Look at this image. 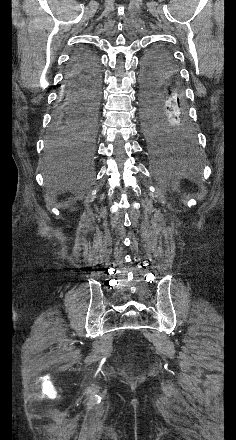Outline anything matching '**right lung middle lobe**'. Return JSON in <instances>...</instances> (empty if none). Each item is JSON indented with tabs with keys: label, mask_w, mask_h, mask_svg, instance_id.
Listing matches in <instances>:
<instances>
[{
	"label": "right lung middle lobe",
	"mask_w": 236,
	"mask_h": 440,
	"mask_svg": "<svg viewBox=\"0 0 236 440\" xmlns=\"http://www.w3.org/2000/svg\"><path fill=\"white\" fill-rule=\"evenodd\" d=\"M81 98L87 103L82 111L81 122L73 130H52L46 145L47 160L62 163L70 159L91 157L96 132L100 84L98 82L88 83L82 89Z\"/></svg>",
	"instance_id": "obj_1"
}]
</instances>
